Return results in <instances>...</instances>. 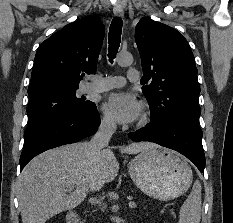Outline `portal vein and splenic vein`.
Segmentation results:
<instances>
[{
    "label": "portal vein and splenic vein",
    "mask_w": 233,
    "mask_h": 223,
    "mask_svg": "<svg viewBox=\"0 0 233 223\" xmlns=\"http://www.w3.org/2000/svg\"><path fill=\"white\" fill-rule=\"evenodd\" d=\"M129 205L130 207H136V203H134V201H130Z\"/></svg>",
    "instance_id": "18ae733b"
}]
</instances>
